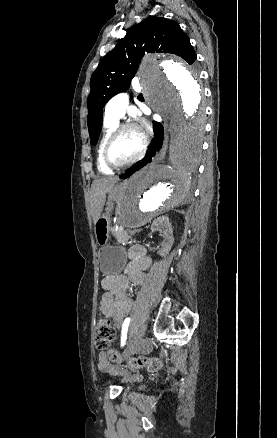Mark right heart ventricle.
Instances as JSON below:
<instances>
[{"mask_svg": "<svg viewBox=\"0 0 277 438\" xmlns=\"http://www.w3.org/2000/svg\"><path fill=\"white\" fill-rule=\"evenodd\" d=\"M116 125H117V121L105 119V122L103 125L102 137H101L99 147H98V158H97L98 169L102 174H106V175L111 174L112 170L110 168H108L105 165V163L103 162L102 153H103L104 145H105L109 135L116 127Z\"/></svg>", "mask_w": 277, "mask_h": 438, "instance_id": "obj_1", "label": "right heart ventricle"}]
</instances>
